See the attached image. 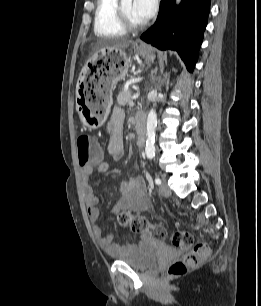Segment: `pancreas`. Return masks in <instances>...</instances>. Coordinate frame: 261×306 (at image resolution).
Segmentation results:
<instances>
[{
  "label": "pancreas",
  "mask_w": 261,
  "mask_h": 306,
  "mask_svg": "<svg viewBox=\"0 0 261 306\" xmlns=\"http://www.w3.org/2000/svg\"><path fill=\"white\" fill-rule=\"evenodd\" d=\"M132 92L129 88H122L118 94L117 102L119 105H127L131 101Z\"/></svg>",
  "instance_id": "cf45deb5"
}]
</instances>
